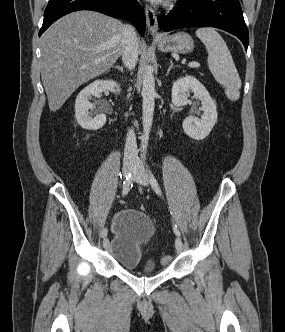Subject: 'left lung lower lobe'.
Segmentation results:
<instances>
[{
	"label": "left lung lower lobe",
	"mask_w": 285,
	"mask_h": 332,
	"mask_svg": "<svg viewBox=\"0 0 285 332\" xmlns=\"http://www.w3.org/2000/svg\"><path fill=\"white\" fill-rule=\"evenodd\" d=\"M165 32L186 27H216L237 36L247 50L248 29L239 0H181L176 10L158 17Z\"/></svg>",
	"instance_id": "obj_1"
}]
</instances>
